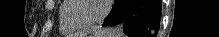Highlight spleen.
<instances>
[{
	"label": "spleen",
	"instance_id": "3e777b00",
	"mask_svg": "<svg viewBox=\"0 0 219 37\" xmlns=\"http://www.w3.org/2000/svg\"><path fill=\"white\" fill-rule=\"evenodd\" d=\"M110 34L112 35L110 37H124V34H123V32H122L120 27L111 29V33Z\"/></svg>",
	"mask_w": 219,
	"mask_h": 37
}]
</instances>
